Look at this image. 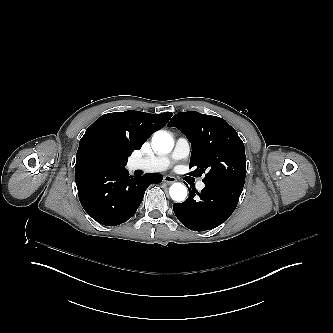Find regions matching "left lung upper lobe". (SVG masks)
<instances>
[{
	"label": "left lung upper lobe",
	"instance_id": "obj_1",
	"mask_svg": "<svg viewBox=\"0 0 333 333\" xmlns=\"http://www.w3.org/2000/svg\"><path fill=\"white\" fill-rule=\"evenodd\" d=\"M169 127L178 128L191 142L189 174L205 173V184L223 182L244 186L246 156L237 132L224 119L195 111L173 116Z\"/></svg>",
	"mask_w": 333,
	"mask_h": 333
}]
</instances>
